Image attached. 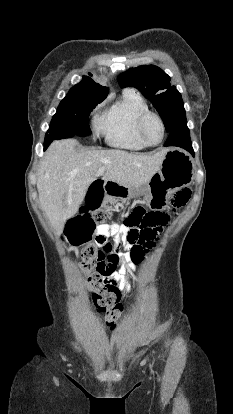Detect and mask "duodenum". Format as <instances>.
<instances>
[{"mask_svg": "<svg viewBox=\"0 0 233 414\" xmlns=\"http://www.w3.org/2000/svg\"><path fill=\"white\" fill-rule=\"evenodd\" d=\"M119 184L111 180H95L91 183L86 201H84L87 212H96L100 203L104 201L105 195L115 196L114 189Z\"/></svg>", "mask_w": 233, "mask_h": 414, "instance_id": "1", "label": "duodenum"}]
</instances>
